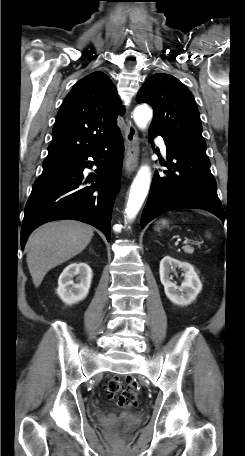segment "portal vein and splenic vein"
Masks as SVG:
<instances>
[{
    "label": "portal vein and splenic vein",
    "mask_w": 245,
    "mask_h": 456,
    "mask_svg": "<svg viewBox=\"0 0 245 456\" xmlns=\"http://www.w3.org/2000/svg\"><path fill=\"white\" fill-rule=\"evenodd\" d=\"M182 243H183V244H188L189 241H188V240H184Z\"/></svg>",
    "instance_id": "obj_1"
}]
</instances>
